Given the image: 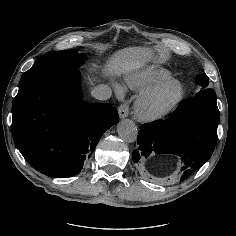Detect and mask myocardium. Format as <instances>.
I'll list each match as a JSON object with an SVG mask.
<instances>
[{
  "instance_id": "obj_1",
  "label": "myocardium",
  "mask_w": 236,
  "mask_h": 236,
  "mask_svg": "<svg viewBox=\"0 0 236 236\" xmlns=\"http://www.w3.org/2000/svg\"><path fill=\"white\" fill-rule=\"evenodd\" d=\"M168 88H174V94L160 107L150 108L151 101ZM183 97V86L179 81L167 80L157 83L144 91L136 98L133 111L136 119L144 123H154L168 116L180 103Z\"/></svg>"
}]
</instances>
